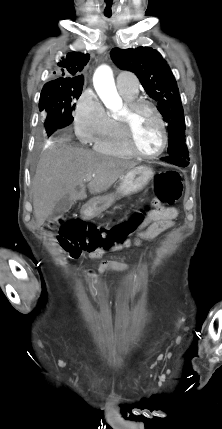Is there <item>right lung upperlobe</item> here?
<instances>
[{"instance_id":"obj_1","label":"right lung upper lobe","mask_w":222,"mask_h":429,"mask_svg":"<svg viewBox=\"0 0 222 429\" xmlns=\"http://www.w3.org/2000/svg\"><path fill=\"white\" fill-rule=\"evenodd\" d=\"M89 61V54L71 52L62 57L57 63L54 74L58 78L44 85V87H67L84 83L83 75L80 74Z\"/></svg>"}]
</instances>
